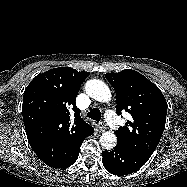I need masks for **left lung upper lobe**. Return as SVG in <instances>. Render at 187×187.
Masks as SVG:
<instances>
[{"label": "left lung upper lobe", "instance_id": "1", "mask_svg": "<svg viewBox=\"0 0 187 187\" xmlns=\"http://www.w3.org/2000/svg\"><path fill=\"white\" fill-rule=\"evenodd\" d=\"M117 96V114L130 113L133 120L116 130L117 143L150 157L163 134L167 102L160 89L137 71L125 69L105 74Z\"/></svg>", "mask_w": 187, "mask_h": 187}]
</instances>
